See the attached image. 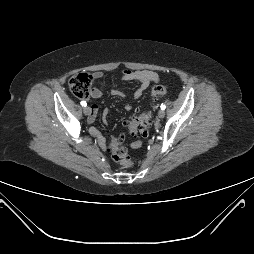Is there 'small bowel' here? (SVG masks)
Segmentation results:
<instances>
[{
    "mask_svg": "<svg viewBox=\"0 0 254 254\" xmlns=\"http://www.w3.org/2000/svg\"><path fill=\"white\" fill-rule=\"evenodd\" d=\"M103 76V73L100 71H96L93 73V77L95 79H99ZM121 79L123 81H137L140 83L139 87L135 90L133 97L134 99H139L142 97L144 91L149 87L151 83H158L159 82V75L152 70H133V69H125L122 72ZM110 93L113 96L119 97V98H126L127 95L117 89H112ZM91 98L93 99H99L102 96V91L98 88H93L91 90ZM91 113L88 117V122L93 123L95 121L96 115L98 113V105L92 104L91 107ZM125 109L127 111H130L132 109V106L130 104L125 105ZM107 111L105 110L103 113L104 121H107ZM90 134L94 136L99 146L105 150L107 148V141L106 138L95 128L90 129Z\"/></svg>",
    "mask_w": 254,
    "mask_h": 254,
    "instance_id": "c3829d8e",
    "label": "small bowel"
}]
</instances>
